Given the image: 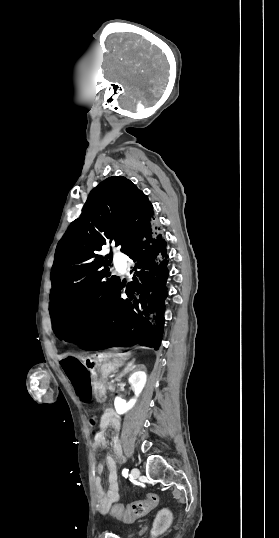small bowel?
Segmentation results:
<instances>
[{
	"mask_svg": "<svg viewBox=\"0 0 279 538\" xmlns=\"http://www.w3.org/2000/svg\"><path fill=\"white\" fill-rule=\"evenodd\" d=\"M67 378L72 385V388L83 403H88L93 398V377L86 369H77L67 372ZM95 420H91L94 424ZM99 430L94 436L93 446L95 449H104L107 446L106 429L110 426L114 430H119L120 424L115 415L105 412L98 422ZM110 446L113 455L106 457L105 464L100 463L97 466V473H103L105 467L108 469V489L104 490L101 483V478L98 476L95 479L96 500L100 509H107L113 503L119 500L120 485L117 473L116 459L122 457V446L120 437L116 434L112 437Z\"/></svg>",
	"mask_w": 279,
	"mask_h": 538,
	"instance_id": "1",
	"label": "small bowel"
}]
</instances>
